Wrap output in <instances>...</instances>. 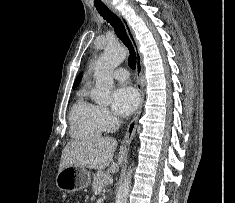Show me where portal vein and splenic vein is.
Returning a JSON list of instances; mask_svg holds the SVG:
<instances>
[{
  "instance_id": "portal-vein-and-splenic-vein-1",
  "label": "portal vein and splenic vein",
  "mask_w": 235,
  "mask_h": 203,
  "mask_svg": "<svg viewBox=\"0 0 235 203\" xmlns=\"http://www.w3.org/2000/svg\"><path fill=\"white\" fill-rule=\"evenodd\" d=\"M99 193H100V189H98V190L95 191V194H96V195L99 194Z\"/></svg>"
}]
</instances>
